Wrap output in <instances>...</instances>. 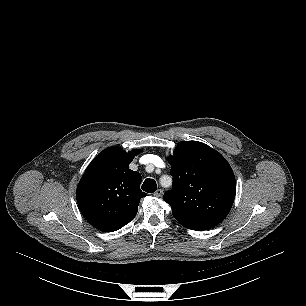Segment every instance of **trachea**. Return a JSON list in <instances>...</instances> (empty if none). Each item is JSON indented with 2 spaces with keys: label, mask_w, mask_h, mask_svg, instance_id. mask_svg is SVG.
Returning <instances> with one entry per match:
<instances>
[{
  "label": "trachea",
  "mask_w": 306,
  "mask_h": 306,
  "mask_svg": "<svg viewBox=\"0 0 306 306\" xmlns=\"http://www.w3.org/2000/svg\"><path fill=\"white\" fill-rule=\"evenodd\" d=\"M157 184L154 179H146L142 184V190L147 193H153L156 191Z\"/></svg>",
  "instance_id": "1"
}]
</instances>
